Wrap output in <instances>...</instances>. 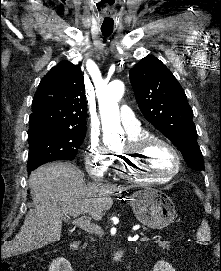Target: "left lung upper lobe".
<instances>
[{"label": "left lung upper lobe", "mask_w": 221, "mask_h": 271, "mask_svg": "<svg viewBox=\"0 0 221 271\" xmlns=\"http://www.w3.org/2000/svg\"><path fill=\"white\" fill-rule=\"evenodd\" d=\"M129 77L144 117L178 147L188 166L205 170L193 111L171 71L156 57L147 56L129 71Z\"/></svg>", "instance_id": "left-lung-upper-lobe-1"}]
</instances>
